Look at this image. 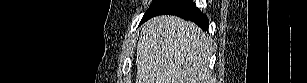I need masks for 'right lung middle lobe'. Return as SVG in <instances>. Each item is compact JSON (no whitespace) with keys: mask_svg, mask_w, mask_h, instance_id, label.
<instances>
[{"mask_svg":"<svg viewBox=\"0 0 307 83\" xmlns=\"http://www.w3.org/2000/svg\"><path fill=\"white\" fill-rule=\"evenodd\" d=\"M155 1H156V0L153 1V3H152V5L150 6V8H149V9L146 11V13L144 14L143 18H145V17L149 14V12H150V10L152 9V7H153Z\"/></svg>","mask_w":307,"mask_h":83,"instance_id":"dd1d6c3e","label":"right lung middle lobe"}]
</instances>
